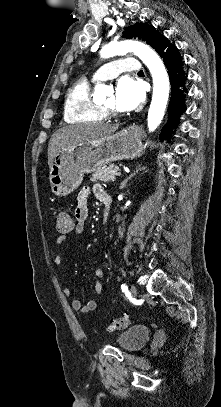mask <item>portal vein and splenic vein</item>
Masks as SVG:
<instances>
[{
	"label": "portal vein and splenic vein",
	"mask_w": 221,
	"mask_h": 407,
	"mask_svg": "<svg viewBox=\"0 0 221 407\" xmlns=\"http://www.w3.org/2000/svg\"><path fill=\"white\" fill-rule=\"evenodd\" d=\"M122 173L120 171L115 172V176H121Z\"/></svg>",
	"instance_id": "obj_1"
}]
</instances>
